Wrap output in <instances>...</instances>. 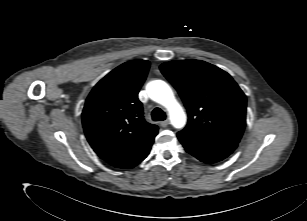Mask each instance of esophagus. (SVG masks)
I'll return each instance as SVG.
<instances>
[{
	"instance_id": "obj_1",
	"label": "esophagus",
	"mask_w": 307,
	"mask_h": 221,
	"mask_svg": "<svg viewBox=\"0 0 307 221\" xmlns=\"http://www.w3.org/2000/svg\"><path fill=\"white\" fill-rule=\"evenodd\" d=\"M159 124H160L161 127L165 128V127L168 126L169 120L167 119V120L161 121Z\"/></svg>"
}]
</instances>
